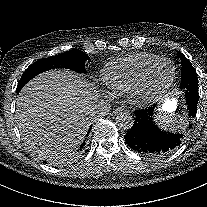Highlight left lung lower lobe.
<instances>
[{
    "mask_svg": "<svg viewBox=\"0 0 207 207\" xmlns=\"http://www.w3.org/2000/svg\"><path fill=\"white\" fill-rule=\"evenodd\" d=\"M197 95L199 96L195 91L190 92L189 100H186L190 119L197 112ZM154 108L155 106L134 111L135 122L125 135V141L130 148L141 154L164 155L179 146L185 135L160 130L153 121ZM191 127L192 124L189 125Z\"/></svg>",
    "mask_w": 207,
    "mask_h": 207,
    "instance_id": "left-lung-lower-lobe-1",
    "label": "left lung lower lobe"
}]
</instances>
